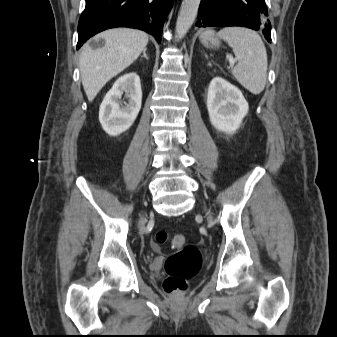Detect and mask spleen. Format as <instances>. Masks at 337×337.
I'll return each instance as SVG.
<instances>
[{
    "label": "spleen",
    "instance_id": "obj_1",
    "mask_svg": "<svg viewBox=\"0 0 337 337\" xmlns=\"http://www.w3.org/2000/svg\"><path fill=\"white\" fill-rule=\"evenodd\" d=\"M238 59L234 78L254 95L260 94L267 80V52L257 32L245 27H225L218 32Z\"/></svg>",
    "mask_w": 337,
    "mask_h": 337
}]
</instances>
